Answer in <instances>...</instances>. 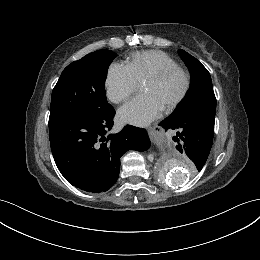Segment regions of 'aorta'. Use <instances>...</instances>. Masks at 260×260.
I'll use <instances>...</instances> for the list:
<instances>
[{
  "label": "aorta",
  "mask_w": 260,
  "mask_h": 260,
  "mask_svg": "<svg viewBox=\"0 0 260 260\" xmlns=\"http://www.w3.org/2000/svg\"><path fill=\"white\" fill-rule=\"evenodd\" d=\"M167 171L165 172L164 178L171 185H178L189 179L191 176L185 159L179 154L169 160L167 165Z\"/></svg>",
  "instance_id": "obj_1"
}]
</instances>
